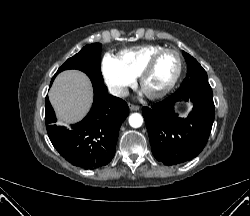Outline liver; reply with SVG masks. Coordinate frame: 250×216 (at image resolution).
I'll use <instances>...</instances> for the list:
<instances>
[{
  "instance_id": "6515ba94",
  "label": "liver",
  "mask_w": 250,
  "mask_h": 216,
  "mask_svg": "<svg viewBox=\"0 0 250 216\" xmlns=\"http://www.w3.org/2000/svg\"><path fill=\"white\" fill-rule=\"evenodd\" d=\"M92 87L89 78L82 72L67 70L55 79L49 93L60 124L80 120L92 102Z\"/></svg>"
}]
</instances>
